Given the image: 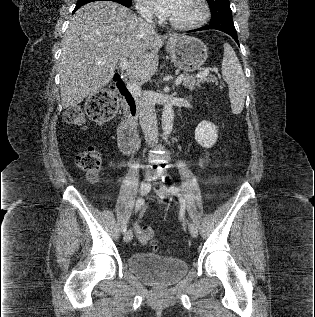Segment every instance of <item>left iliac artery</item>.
Returning <instances> with one entry per match:
<instances>
[{
	"label": "left iliac artery",
	"instance_id": "obj_1",
	"mask_svg": "<svg viewBox=\"0 0 315 317\" xmlns=\"http://www.w3.org/2000/svg\"><path fill=\"white\" fill-rule=\"evenodd\" d=\"M169 191L172 194L177 195L180 198V201L183 204V206L185 205V200H184V198L182 197V194H181L182 190L179 187H176V186L172 185V186L169 187Z\"/></svg>",
	"mask_w": 315,
	"mask_h": 317
}]
</instances>
